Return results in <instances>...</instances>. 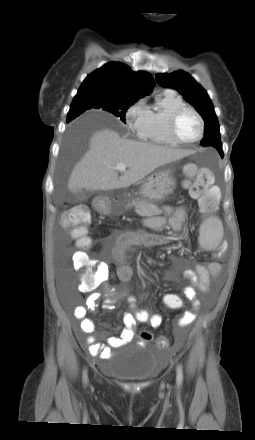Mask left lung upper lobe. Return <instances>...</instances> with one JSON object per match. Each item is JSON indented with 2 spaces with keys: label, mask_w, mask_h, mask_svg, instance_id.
<instances>
[{
  "label": "left lung upper lobe",
  "mask_w": 255,
  "mask_h": 440,
  "mask_svg": "<svg viewBox=\"0 0 255 440\" xmlns=\"http://www.w3.org/2000/svg\"><path fill=\"white\" fill-rule=\"evenodd\" d=\"M156 80L162 87L177 90L184 96V99L188 103L197 109L205 123V135L201 144L203 146L215 147L220 156L223 157L219 124L213 104L207 92L184 71H176L170 74H157Z\"/></svg>",
  "instance_id": "obj_1"
}]
</instances>
